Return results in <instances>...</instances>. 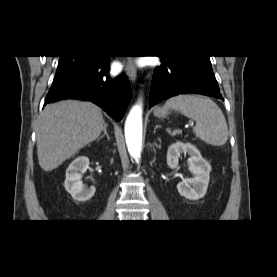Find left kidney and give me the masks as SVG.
<instances>
[{
	"mask_svg": "<svg viewBox=\"0 0 277 277\" xmlns=\"http://www.w3.org/2000/svg\"><path fill=\"white\" fill-rule=\"evenodd\" d=\"M190 155L188 159L189 170L193 178L185 179L177 184L179 194L189 200H198L207 192L211 165L201 156L199 150L190 143L176 142L169 146L167 151V165L176 169L181 154Z\"/></svg>",
	"mask_w": 277,
	"mask_h": 277,
	"instance_id": "1",
	"label": "left kidney"
}]
</instances>
